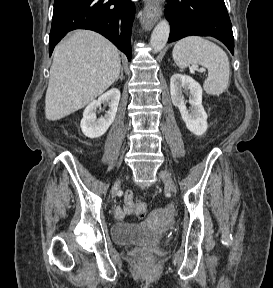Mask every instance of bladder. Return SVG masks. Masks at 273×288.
Wrapping results in <instances>:
<instances>
[{"mask_svg": "<svg viewBox=\"0 0 273 288\" xmlns=\"http://www.w3.org/2000/svg\"><path fill=\"white\" fill-rule=\"evenodd\" d=\"M167 214V212H165ZM112 239L117 245L130 244H156L162 240V237L151 229L142 225L118 223L112 227Z\"/></svg>", "mask_w": 273, "mask_h": 288, "instance_id": "obj_1", "label": "bladder"}]
</instances>
